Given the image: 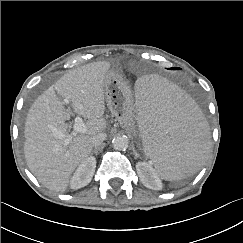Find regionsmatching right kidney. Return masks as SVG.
<instances>
[{"label":"right kidney","mask_w":243,"mask_h":243,"mask_svg":"<svg viewBox=\"0 0 243 243\" xmlns=\"http://www.w3.org/2000/svg\"><path fill=\"white\" fill-rule=\"evenodd\" d=\"M96 168V159L90 156L84 162H82L70 181V187L72 189L82 188L90 183L94 175Z\"/></svg>","instance_id":"1"}]
</instances>
